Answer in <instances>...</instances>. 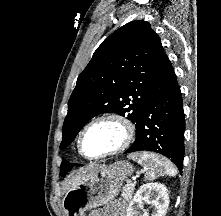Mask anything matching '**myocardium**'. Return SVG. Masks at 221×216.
<instances>
[{
    "label": "myocardium",
    "instance_id": "obj_1",
    "mask_svg": "<svg viewBox=\"0 0 221 216\" xmlns=\"http://www.w3.org/2000/svg\"><path fill=\"white\" fill-rule=\"evenodd\" d=\"M100 122H113L116 125H118L121 132H122L121 141L118 143V145L116 147H114L113 149H111L109 151H106L104 153L94 155V156L86 155L83 152V148H82L83 138H84L86 132L92 126H94L95 124L100 123ZM134 136H135V126L131 120H129L127 117H125L121 114H118V113H107V114H103V115H100V116L92 119L90 122H88L85 125V127L82 129V131L78 137L77 148H78L79 153L87 159L93 160V159L105 158L108 156L118 154V153L122 152L123 150H125L132 143Z\"/></svg>",
    "mask_w": 221,
    "mask_h": 216
}]
</instances>
